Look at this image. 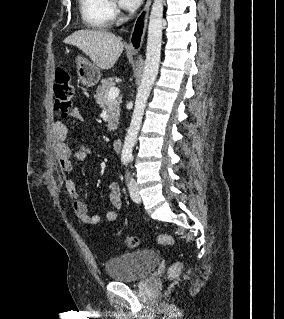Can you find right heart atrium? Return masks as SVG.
Returning <instances> with one entry per match:
<instances>
[{
  "label": "right heart atrium",
  "instance_id": "1",
  "mask_svg": "<svg viewBox=\"0 0 284 319\" xmlns=\"http://www.w3.org/2000/svg\"><path fill=\"white\" fill-rule=\"evenodd\" d=\"M111 11L113 14L115 13V5L114 4H111Z\"/></svg>",
  "mask_w": 284,
  "mask_h": 319
}]
</instances>
